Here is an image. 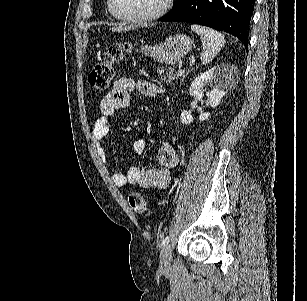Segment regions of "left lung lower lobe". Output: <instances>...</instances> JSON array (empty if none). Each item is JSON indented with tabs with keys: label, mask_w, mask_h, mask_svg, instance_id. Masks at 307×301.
Masks as SVG:
<instances>
[{
	"label": "left lung lower lobe",
	"mask_w": 307,
	"mask_h": 301,
	"mask_svg": "<svg viewBox=\"0 0 307 301\" xmlns=\"http://www.w3.org/2000/svg\"><path fill=\"white\" fill-rule=\"evenodd\" d=\"M255 0H181L160 21L200 24L236 36L248 47Z\"/></svg>",
	"instance_id": "left-lung-lower-lobe-1"
}]
</instances>
